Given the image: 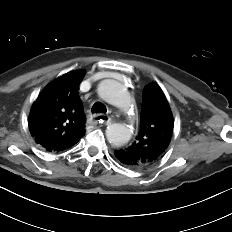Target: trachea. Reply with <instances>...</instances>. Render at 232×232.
Here are the masks:
<instances>
[{"label":"trachea","instance_id":"trachea-1","mask_svg":"<svg viewBox=\"0 0 232 232\" xmlns=\"http://www.w3.org/2000/svg\"><path fill=\"white\" fill-rule=\"evenodd\" d=\"M106 107L104 104L100 103V102H96L91 109V112L94 113H98V114H105L106 113Z\"/></svg>","mask_w":232,"mask_h":232}]
</instances>
